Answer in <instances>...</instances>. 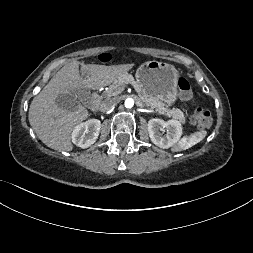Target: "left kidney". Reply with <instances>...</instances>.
Here are the masks:
<instances>
[{"label":"left kidney","instance_id":"5707ae66","mask_svg":"<svg viewBox=\"0 0 253 253\" xmlns=\"http://www.w3.org/2000/svg\"><path fill=\"white\" fill-rule=\"evenodd\" d=\"M148 132L151 141L160 148L167 149L174 146L182 135L181 123L177 120L153 118L148 121ZM166 132V134H164Z\"/></svg>","mask_w":253,"mask_h":253}]
</instances>
